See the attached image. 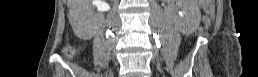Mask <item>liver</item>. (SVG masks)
Instances as JSON below:
<instances>
[{"mask_svg": "<svg viewBox=\"0 0 258 77\" xmlns=\"http://www.w3.org/2000/svg\"><path fill=\"white\" fill-rule=\"evenodd\" d=\"M91 0H68L69 5V20L71 25H73L76 15L81 16L85 12Z\"/></svg>", "mask_w": 258, "mask_h": 77, "instance_id": "6515ba94", "label": "liver"}]
</instances>
